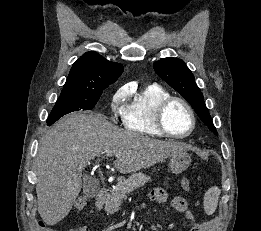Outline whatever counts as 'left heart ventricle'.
<instances>
[{"label":"left heart ventricle","mask_w":261,"mask_h":231,"mask_svg":"<svg viewBox=\"0 0 261 231\" xmlns=\"http://www.w3.org/2000/svg\"><path fill=\"white\" fill-rule=\"evenodd\" d=\"M165 124L172 133H186L191 126V119L187 109L181 103L173 102L166 110Z\"/></svg>","instance_id":"1"}]
</instances>
